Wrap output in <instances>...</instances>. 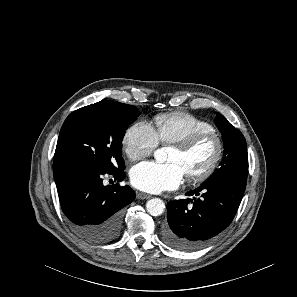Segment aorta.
<instances>
[{
    "instance_id": "762f6f07",
    "label": "aorta",
    "mask_w": 297,
    "mask_h": 297,
    "mask_svg": "<svg viewBox=\"0 0 297 297\" xmlns=\"http://www.w3.org/2000/svg\"><path fill=\"white\" fill-rule=\"evenodd\" d=\"M154 157L158 162H163L166 160L165 150L163 148L157 149L154 152ZM146 209L150 215L159 216L164 212L165 205L161 199L153 198L146 203Z\"/></svg>"
}]
</instances>
